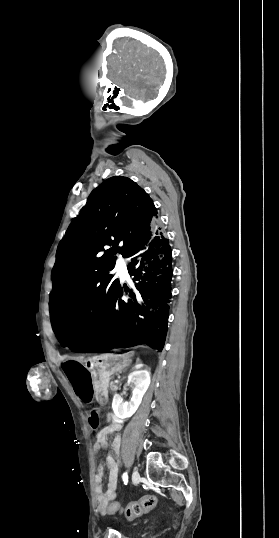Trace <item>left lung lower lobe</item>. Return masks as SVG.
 <instances>
[{"mask_svg":"<svg viewBox=\"0 0 279 538\" xmlns=\"http://www.w3.org/2000/svg\"><path fill=\"white\" fill-rule=\"evenodd\" d=\"M127 257L132 261L128 272L134 276V288L125 287L130 299L122 301L123 290L119 288L100 326L90 336L74 332L60 334L58 339L62 346L82 353L136 345H148L162 351L171 298L169 241L161 228L151 226L130 248Z\"/></svg>","mask_w":279,"mask_h":538,"instance_id":"1","label":"left lung lower lobe"}]
</instances>
